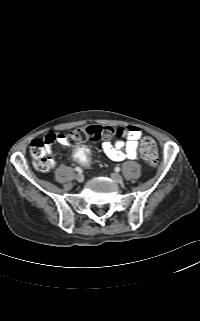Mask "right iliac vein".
I'll return each mask as SVG.
<instances>
[{
    "label": "right iliac vein",
    "mask_w": 200,
    "mask_h": 321,
    "mask_svg": "<svg viewBox=\"0 0 200 321\" xmlns=\"http://www.w3.org/2000/svg\"><path fill=\"white\" fill-rule=\"evenodd\" d=\"M76 180H77L78 182H83V181H84V176L79 173V174L76 175Z\"/></svg>",
    "instance_id": "obj_1"
}]
</instances>
